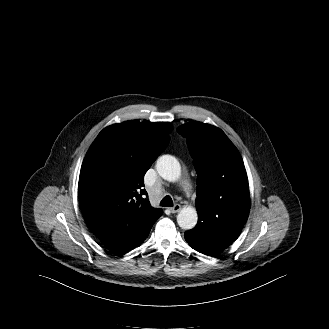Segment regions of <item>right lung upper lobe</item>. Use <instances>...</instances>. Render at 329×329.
<instances>
[{
  "label": "right lung upper lobe",
  "instance_id": "right-lung-upper-lobe-1",
  "mask_svg": "<svg viewBox=\"0 0 329 329\" xmlns=\"http://www.w3.org/2000/svg\"><path fill=\"white\" fill-rule=\"evenodd\" d=\"M165 122L126 121L103 129L81 166L78 193L86 224L99 239L142 228L162 215L142 198L144 175L170 140Z\"/></svg>",
  "mask_w": 329,
  "mask_h": 329
}]
</instances>
